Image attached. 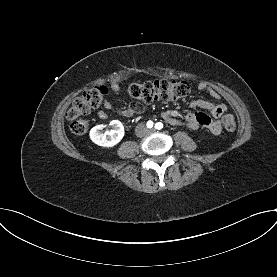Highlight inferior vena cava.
Segmentation results:
<instances>
[{
	"label": "inferior vena cava",
	"instance_id": "1",
	"mask_svg": "<svg viewBox=\"0 0 277 277\" xmlns=\"http://www.w3.org/2000/svg\"><path fill=\"white\" fill-rule=\"evenodd\" d=\"M148 133V129L146 128V126L144 124H138L135 128V134L138 137H142L145 136Z\"/></svg>",
	"mask_w": 277,
	"mask_h": 277
}]
</instances>
